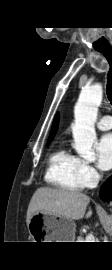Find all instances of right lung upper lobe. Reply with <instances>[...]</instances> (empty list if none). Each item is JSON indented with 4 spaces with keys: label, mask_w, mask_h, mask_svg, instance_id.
Here are the masks:
<instances>
[{
    "label": "right lung upper lobe",
    "mask_w": 112,
    "mask_h": 270,
    "mask_svg": "<svg viewBox=\"0 0 112 270\" xmlns=\"http://www.w3.org/2000/svg\"><path fill=\"white\" fill-rule=\"evenodd\" d=\"M58 121H59V115L57 114L54 118V122H53V125H52V129H51V132H50V136H49V140L48 141H51L57 131V128H58Z\"/></svg>",
    "instance_id": "1"
}]
</instances>
